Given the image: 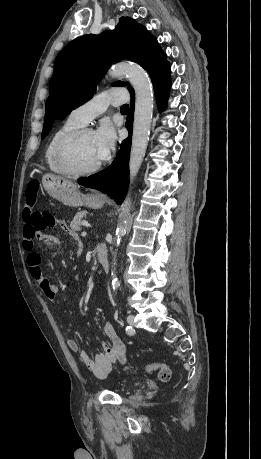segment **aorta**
Returning <instances> with one entry per match:
<instances>
[{
	"label": "aorta",
	"instance_id": "obj_1",
	"mask_svg": "<svg viewBox=\"0 0 261 459\" xmlns=\"http://www.w3.org/2000/svg\"><path fill=\"white\" fill-rule=\"evenodd\" d=\"M108 76L120 78L126 76L135 91V112L133 122L132 144L129 160L130 184L139 172L149 141L153 115V88L148 74L137 64L119 63L108 71ZM130 193L127 195L120 214V222L116 228L117 245L126 229L123 219L130 211ZM115 264V260H114ZM112 288L117 289L119 282L112 273Z\"/></svg>",
	"mask_w": 261,
	"mask_h": 459
}]
</instances>
